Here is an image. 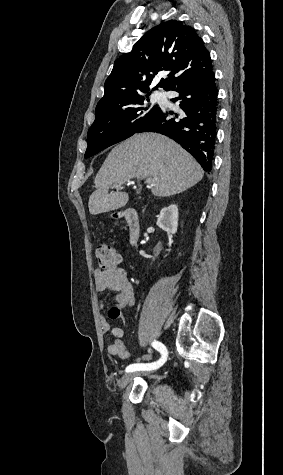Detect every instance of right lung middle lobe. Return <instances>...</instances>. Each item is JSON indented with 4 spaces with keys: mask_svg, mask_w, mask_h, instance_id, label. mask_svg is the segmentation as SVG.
Instances as JSON below:
<instances>
[{
    "mask_svg": "<svg viewBox=\"0 0 283 475\" xmlns=\"http://www.w3.org/2000/svg\"><path fill=\"white\" fill-rule=\"evenodd\" d=\"M149 95H137L123 102L97 107L96 119L88 131L84 157H91L137 133L160 110L157 105L147 104Z\"/></svg>",
    "mask_w": 283,
    "mask_h": 475,
    "instance_id": "right-lung-middle-lobe-1",
    "label": "right lung middle lobe"
}]
</instances>
